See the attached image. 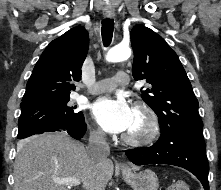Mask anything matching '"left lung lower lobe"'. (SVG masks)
Instances as JSON below:
<instances>
[{
    "instance_id": "1",
    "label": "left lung lower lobe",
    "mask_w": 221,
    "mask_h": 190,
    "mask_svg": "<svg viewBox=\"0 0 221 190\" xmlns=\"http://www.w3.org/2000/svg\"><path fill=\"white\" fill-rule=\"evenodd\" d=\"M161 136L151 147L126 150L128 159L136 165L169 164L187 169L209 190L206 145L185 138L175 131L160 128Z\"/></svg>"
}]
</instances>
